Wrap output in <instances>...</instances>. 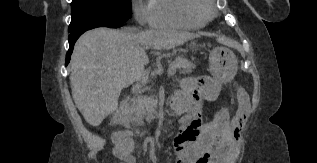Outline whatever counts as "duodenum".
<instances>
[{
	"mask_svg": "<svg viewBox=\"0 0 317 163\" xmlns=\"http://www.w3.org/2000/svg\"><path fill=\"white\" fill-rule=\"evenodd\" d=\"M112 122L116 126H120L128 122V104L126 101L122 102L119 108L114 112ZM118 139L119 137L117 138V141Z\"/></svg>",
	"mask_w": 317,
	"mask_h": 163,
	"instance_id": "obj_1",
	"label": "duodenum"
}]
</instances>
